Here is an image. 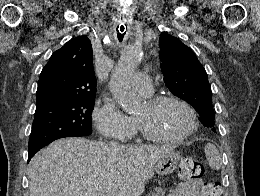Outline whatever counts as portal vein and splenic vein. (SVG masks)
I'll use <instances>...</instances> for the list:
<instances>
[{"instance_id": "18ae733b", "label": "portal vein and splenic vein", "mask_w": 260, "mask_h": 196, "mask_svg": "<svg viewBox=\"0 0 260 196\" xmlns=\"http://www.w3.org/2000/svg\"><path fill=\"white\" fill-rule=\"evenodd\" d=\"M95 196H105V194H95Z\"/></svg>"}]
</instances>
